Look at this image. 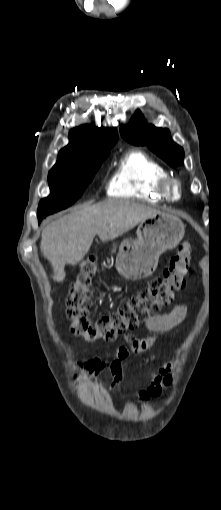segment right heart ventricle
Here are the masks:
<instances>
[{"label":"right heart ventricle","mask_w":221,"mask_h":510,"mask_svg":"<svg viewBox=\"0 0 221 510\" xmlns=\"http://www.w3.org/2000/svg\"><path fill=\"white\" fill-rule=\"evenodd\" d=\"M167 175L166 169L157 160L141 150H131L120 159L114 170L108 195L160 203L164 199L158 193L157 185Z\"/></svg>","instance_id":"right-heart-ventricle-1"}]
</instances>
